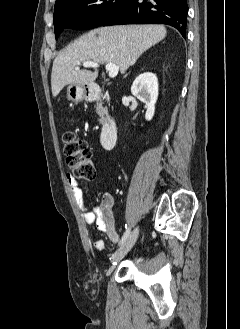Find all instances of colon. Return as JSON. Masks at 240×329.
I'll list each match as a JSON object with an SVG mask.
<instances>
[{"mask_svg": "<svg viewBox=\"0 0 240 329\" xmlns=\"http://www.w3.org/2000/svg\"><path fill=\"white\" fill-rule=\"evenodd\" d=\"M63 141L64 154L74 176L82 180H93L96 170L88 143L71 131L63 135Z\"/></svg>", "mask_w": 240, "mask_h": 329, "instance_id": "colon-1", "label": "colon"}]
</instances>
